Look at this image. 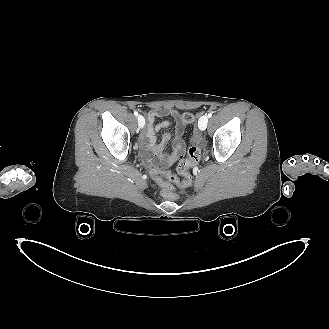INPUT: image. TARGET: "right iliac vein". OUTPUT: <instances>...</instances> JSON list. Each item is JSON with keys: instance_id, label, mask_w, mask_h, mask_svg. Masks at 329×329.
Segmentation results:
<instances>
[{"instance_id": "1", "label": "right iliac vein", "mask_w": 329, "mask_h": 329, "mask_svg": "<svg viewBox=\"0 0 329 329\" xmlns=\"http://www.w3.org/2000/svg\"><path fill=\"white\" fill-rule=\"evenodd\" d=\"M137 120H138V126H139V128L140 129L143 128L144 125H145V119H144V117L141 116V115H139L138 118H137Z\"/></svg>"}]
</instances>
